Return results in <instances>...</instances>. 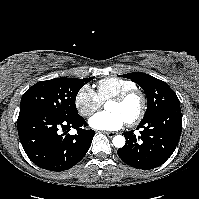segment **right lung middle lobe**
<instances>
[{
  "label": "right lung middle lobe",
  "mask_w": 199,
  "mask_h": 199,
  "mask_svg": "<svg viewBox=\"0 0 199 199\" xmlns=\"http://www.w3.org/2000/svg\"><path fill=\"white\" fill-rule=\"evenodd\" d=\"M94 77L55 78L30 87L22 96L20 112L41 110L62 118L78 116L75 99L78 91Z\"/></svg>",
  "instance_id": "dd1d6c3e"
}]
</instances>
